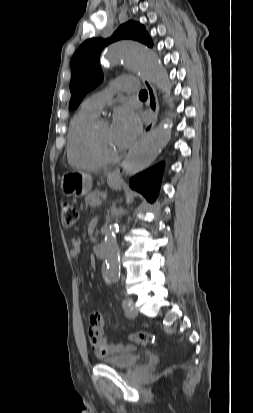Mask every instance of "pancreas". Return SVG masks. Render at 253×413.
<instances>
[{
  "label": "pancreas",
  "instance_id": "1",
  "mask_svg": "<svg viewBox=\"0 0 253 413\" xmlns=\"http://www.w3.org/2000/svg\"><path fill=\"white\" fill-rule=\"evenodd\" d=\"M103 198L105 199V197L103 196V193L100 192L99 190H95L91 193H89L86 197H85V201L92 205V206H96L97 204H99L101 202V199Z\"/></svg>",
  "mask_w": 253,
  "mask_h": 413
}]
</instances>
